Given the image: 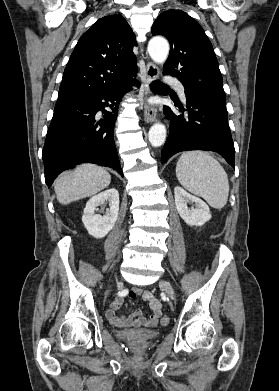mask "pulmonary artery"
Wrapping results in <instances>:
<instances>
[{
    "label": "pulmonary artery",
    "mask_w": 279,
    "mask_h": 391,
    "mask_svg": "<svg viewBox=\"0 0 279 391\" xmlns=\"http://www.w3.org/2000/svg\"><path fill=\"white\" fill-rule=\"evenodd\" d=\"M165 81L169 84H172L176 87L178 93L180 94L181 98L185 101V89L184 86L175 78L167 76L165 78Z\"/></svg>",
    "instance_id": "obj_1"
}]
</instances>
